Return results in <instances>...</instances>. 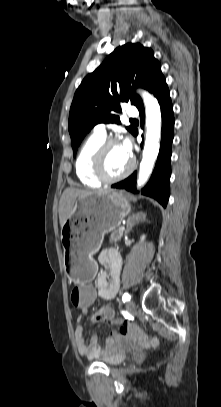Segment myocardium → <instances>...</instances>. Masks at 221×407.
<instances>
[{"label": "myocardium", "mask_w": 221, "mask_h": 407, "mask_svg": "<svg viewBox=\"0 0 221 407\" xmlns=\"http://www.w3.org/2000/svg\"><path fill=\"white\" fill-rule=\"evenodd\" d=\"M120 143L119 139L117 138H107L105 139L96 152L93 155L92 162H91V171L93 176L103 183H114L120 180L125 179L128 177L135 168V160L133 158L130 159V164L127 169L119 175L116 176H109L105 173L104 170V157L106 154L107 149L113 145Z\"/></svg>", "instance_id": "obj_1"}]
</instances>
